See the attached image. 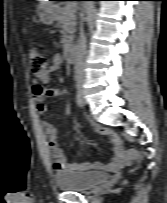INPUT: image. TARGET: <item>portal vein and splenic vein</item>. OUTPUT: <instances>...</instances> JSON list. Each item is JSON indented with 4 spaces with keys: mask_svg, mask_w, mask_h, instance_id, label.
<instances>
[{
    "mask_svg": "<svg viewBox=\"0 0 167 203\" xmlns=\"http://www.w3.org/2000/svg\"><path fill=\"white\" fill-rule=\"evenodd\" d=\"M65 8L69 12H74L75 11V5L74 4H68V5H66Z\"/></svg>",
    "mask_w": 167,
    "mask_h": 203,
    "instance_id": "obj_1",
    "label": "portal vein and splenic vein"
}]
</instances>
